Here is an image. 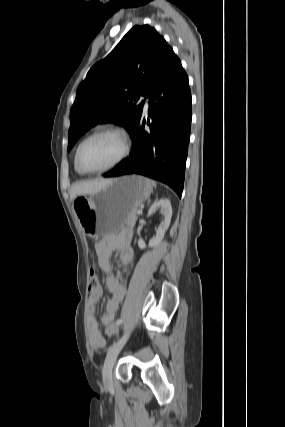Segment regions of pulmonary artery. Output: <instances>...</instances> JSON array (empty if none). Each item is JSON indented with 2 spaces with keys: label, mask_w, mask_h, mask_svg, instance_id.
Instances as JSON below:
<instances>
[{
  "label": "pulmonary artery",
  "mask_w": 285,
  "mask_h": 427,
  "mask_svg": "<svg viewBox=\"0 0 285 427\" xmlns=\"http://www.w3.org/2000/svg\"><path fill=\"white\" fill-rule=\"evenodd\" d=\"M140 102L142 103V105H143V109H144V111L145 112H147L148 111V109H149V103H148V100L144 97V96H141L140 97Z\"/></svg>",
  "instance_id": "obj_1"
}]
</instances>
